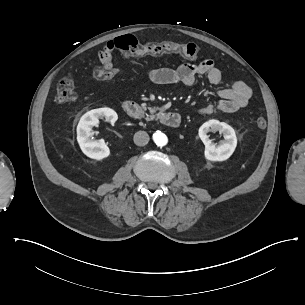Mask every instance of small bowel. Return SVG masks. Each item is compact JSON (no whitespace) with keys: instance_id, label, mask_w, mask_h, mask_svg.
I'll use <instances>...</instances> for the list:
<instances>
[{"instance_id":"small-bowel-1","label":"small bowel","mask_w":305,"mask_h":305,"mask_svg":"<svg viewBox=\"0 0 305 305\" xmlns=\"http://www.w3.org/2000/svg\"><path fill=\"white\" fill-rule=\"evenodd\" d=\"M97 53H102L101 61L107 64V67H112L115 53L112 41L105 43L101 50H97ZM200 76H206L212 84H220L224 81L222 72L212 59H204L197 64H182L174 69L157 68L147 71L148 79L158 85L191 86ZM218 95L221 99L217 103L200 107L197 110L198 114L207 115L216 111L235 112L247 105L252 91L243 81L229 80L227 87L220 89Z\"/></svg>"}]
</instances>
